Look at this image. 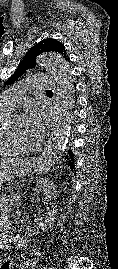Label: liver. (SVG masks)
I'll list each match as a JSON object with an SVG mask.
<instances>
[{
    "instance_id": "1",
    "label": "liver",
    "mask_w": 118,
    "mask_h": 269,
    "mask_svg": "<svg viewBox=\"0 0 118 269\" xmlns=\"http://www.w3.org/2000/svg\"><path fill=\"white\" fill-rule=\"evenodd\" d=\"M14 162L13 161H5V162H1L0 163V167L4 168V167H7V166H10L11 164H13Z\"/></svg>"
}]
</instances>
